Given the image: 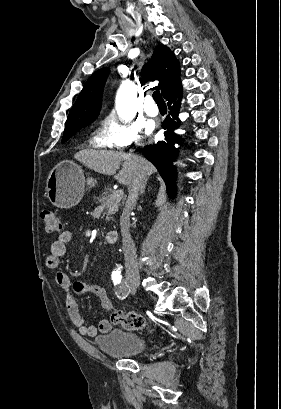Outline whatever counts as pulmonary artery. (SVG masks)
<instances>
[{
    "label": "pulmonary artery",
    "instance_id": "obj_1",
    "mask_svg": "<svg viewBox=\"0 0 281 409\" xmlns=\"http://www.w3.org/2000/svg\"><path fill=\"white\" fill-rule=\"evenodd\" d=\"M145 110L150 116L152 117L157 116L159 114L158 103L157 102H146Z\"/></svg>",
    "mask_w": 281,
    "mask_h": 409
}]
</instances>
